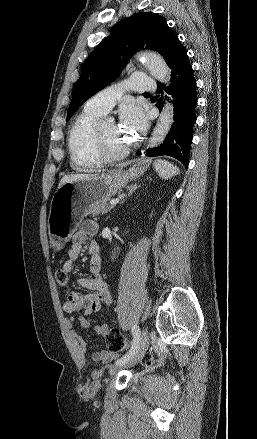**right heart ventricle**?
Listing matches in <instances>:
<instances>
[{
  "mask_svg": "<svg viewBox=\"0 0 257 439\" xmlns=\"http://www.w3.org/2000/svg\"><path fill=\"white\" fill-rule=\"evenodd\" d=\"M101 115L84 108L69 132L68 148L72 166L79 171L93 170L102 163L96 145V122Z\"/></svg>",
  "mask_w": 257,
  "mask_h": 439,
  "instance_id": "obj_1",
  "label": "right heart ventricle"
}]
</instances>
